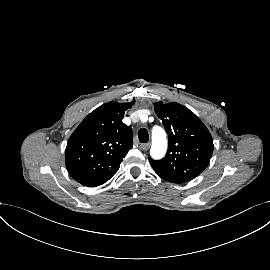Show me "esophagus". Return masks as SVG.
<instances>
[{"mask_svg":"<svg viewBox=\"0 0 270 270\" xmlns=\"http://www.w3.org/2000/svg\"><path fill=\"white\" fill-rule=\"evenodd\" d=\"M150 148V143H144L140 145V149L143 151H147Z\"/></svg>","mask_w":270,"mask_h":270,"instance_id":"34e87169","label":"esophagus"}]
</instances>
